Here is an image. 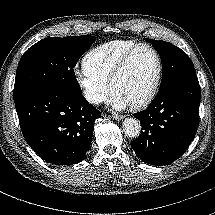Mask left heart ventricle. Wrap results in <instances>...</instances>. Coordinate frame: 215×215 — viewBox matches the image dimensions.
Listing matches in <instances>:
<instances>
[{"mask_svg": "<svg viewBox=\"0 0 215 215\" xmlns=\"http://www.w3.org/2000/svg\"><path fill=\"white\" fill-rule=\"evenodd\" d=\"M156 69L157 62L153 52L145 47L138 49L114 83L112 93L122 96L129 105L140 101L148 92Z\"/></svg>", "mask_w": 215, "mask_h": 215, "instance_id": "1", "label": "left heart ventricle"}]
</instances>
